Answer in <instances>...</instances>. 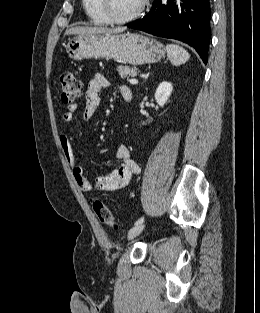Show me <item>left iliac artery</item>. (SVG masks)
I'll use <instances>...</instances> for the list:
<instances>
[{
    "mask_svg": "<svg viewBox=\"0 0 260 313\" xmlns=\"http://www.w3.org/2000/svg\"><path fill=\"white\" fill-rule=\"evenodd\" d=\"M143 221H144V217L142 216L135 222V225L141 224Z\"/></svg>",
    "mask_w": 260,
    "mask_h": 313,
    "instance_id": "44dca946",
    "label": "left iliac artery"
}]
</instances>
